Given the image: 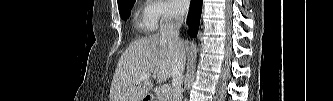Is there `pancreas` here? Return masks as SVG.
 <instances>
[{"mask_svg":"<svg viewBox=\"0 0 333 101\" xmlns=\"http://www.w3.org/2000/svg\"><path fill=\"white\" fill-rule=\"evenodd\" d=\"M171 100V95L169 93H162L160 92L158 95H157V99L156 101H170Z\"/></svg>","mask_w":333,"mask_h":101,"instance_id":"1","label":"pancreas"}]
</instances>
